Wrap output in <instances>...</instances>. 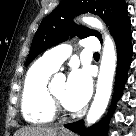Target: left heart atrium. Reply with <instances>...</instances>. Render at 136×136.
Masks as SVG:
<instances>
[{
	"mask_svg": "<svg viewBox=\"0 0 136 136\" xmlns=\"http://www.w3.org/2000/svg\"><path fill=\"white\" fill-rule=\"evenodd\" d=\"M92 93V79L88 69L75 68L69 74L64 96V105L71 110L82 108Z\"/></svg>",
	"mask_w": 136,
	"mask_h": 136,
	"instance_id": "obj_1",
	"label": "left heart atrium"
}]
</instances>
